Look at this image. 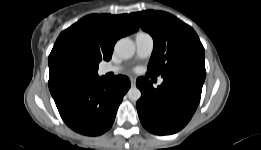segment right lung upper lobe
Wrapping results in <instances>:
<instances>
[{
	"label": "right lung upper lobe",
	"mask_w": 261,
	"mask_h": 150,
	"mask_svg": "<svg viewBox=\"0 0 261 150\" xmlns=\"http://www.w3.org/2000/svg\"><path fill=\"white\" fill-rule=\"evenodd\" d=\"M138 29L128 14H91L64 30L48 59L52 96L74 84L99 78V62L110 60L116 41Z\"/></svg>",
	"instance_id": "obj_1"
}]
</instances>
